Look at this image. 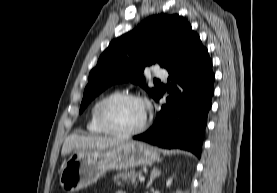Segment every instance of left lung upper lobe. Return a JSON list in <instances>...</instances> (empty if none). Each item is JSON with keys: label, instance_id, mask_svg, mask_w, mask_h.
<instances>
[{"label": "left lung upper lobe", "instance_id": "left-lung-upper-lobe-1", "mask_svg": "<svg viewBox=\"0 0 277 193\" xmlns=\"http://www.w3.org/2000/svg\"><path fill=\"white\" fill-rule=\"evenodd\" d=\"M197 36L191 25L178 14L147 18L137 28L114 39L90 72L80 112L108 86L131 80L140 84L155 99L161 91L146 88L141 73L146 65L158 63L169 70L184 56Z\"/></svg>", "mask_w": 277, "mask_h": 193}]
</instances>
